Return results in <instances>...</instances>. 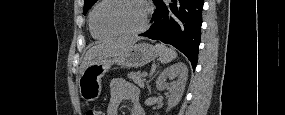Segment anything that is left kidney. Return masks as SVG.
I'll use <instances>...</instances> for the list:
<instances>
[{"label":"left kidney","instance_id":"obj_1","mask_svg":"<svg viewBox=\"0 0 285 115\" xmlns=\"http://www.w3.org/2000/svg\"><path fill=\"white\" fill-rule=\"evenodd\" d=\"M187 77L188 69L187 66L182 62L173 64L160 73L159 77L156 80V87L158 90L167 89L170 93L167 110H170L176 106L181 100ZM167 78L170 80L177 78V80L174 81L171 85H168L166 82Z\"/></svg>","mask_w":285,"mask_h":115}]
</instances>
